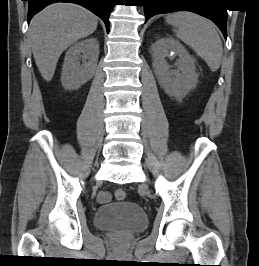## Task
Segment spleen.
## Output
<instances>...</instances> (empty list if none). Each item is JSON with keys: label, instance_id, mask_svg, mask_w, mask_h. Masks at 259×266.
I'll return each mask as SVG.
<instances>
[{"label": "spleen", "instance_id": "spleen-1", "mask_svg": "<svg viewBox=\"0 0 259 266\" xmlns=\"http://www.w3.org/2000/svg\"><path fill=\"white\" fill-rule=\"evenodd\" d=\"M176 37L195 51L212 72L219 69L223 47L215 25L198 14L179 11L172 14Z\"/></svg>", "mask_w": 259, "mask_h": 266}]
</instances>
